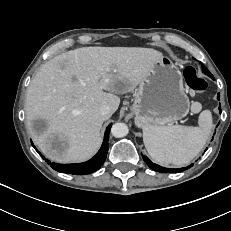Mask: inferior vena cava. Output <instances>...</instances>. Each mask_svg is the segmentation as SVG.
Segmentation results:
<instances>
[{"label": "inferior vena cava", "instance_id": "obj_1", "mask_svg": "<svg viewBox=\"0 0 231 231\" xmlns=\"http://www.w3.org/2000/svg\"><path fill=\"white\" fill-rule=\"evenodd\" d=\"M100 113L105 119H108L112 115V110H111L110 106L103 105L100 107Z\"/></svg>", "mask_w": 231, "mask_h": 231}]
</instances>
